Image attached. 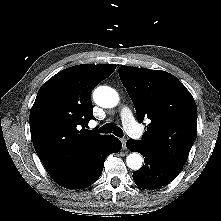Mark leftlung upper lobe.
Instances as JSON below:
<instances>
[{"label": "left lung upper lobe", "mask_w": 221, "mask_h": 221, "mask_svg": "<svg viewBox=\"0 0 221 221\" xmlns=\"http://www.w3.org/2000/svg\"><path fill=\"white\" fill-rule=\"evenodd\" d=\"M119 76L139 122L151 120L140 142L183 167L197 137V107L190 92L165 71L123 66Z\"/></svg>", "instance_id": "1"}]
</instances>
